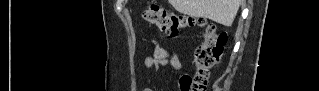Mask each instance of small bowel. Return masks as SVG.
Here are the masks:
<instances>
[{
  "label": "small bowel",
  "mask_w": 319,
  "mask_h": 91,
  "mask_svg": "<svg viewBox=\"0 0 319 91\" xmlns=\"http://www.w3.org/2000/svg\"><path fill=\"white\" fill-rule=\"evenodd\" d=\"M145 66L148 69L168 66L174 70H181L182 63L177 52L160 47L157 43H154V54L145 60Z\"/></svg>",
  "instance_id": "obj_1"
}]
</instances>
